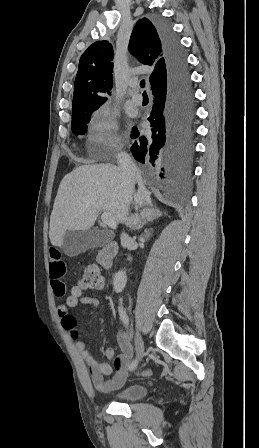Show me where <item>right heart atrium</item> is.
Here are the masks:
<instances>
[{
    "instance_id": "obj_1",
    "label": "right heart atrium",
    "mask_w": 259,
    "mask_h": 448,
    "mask_svg": "<svg viewBox=\"0 0 259 448\" xmlns=\"http://www.w3.org/2000/svg\"><path fill=\"white\" fill-rule=\"evenodd\" d=\"M86 145L99 152H116L120 147L116 118L105 106L99 108L89 122Z\"/></svg>"
}]
</instances>
